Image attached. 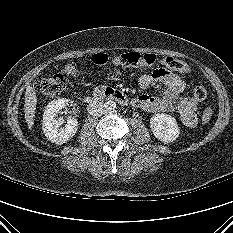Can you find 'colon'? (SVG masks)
<instances>
[{
  "instance_id": "1",
  "label": "colon",
  "mask_w": 233,
  "mask_h": 233,
  "mask_svg": "<svg viewBox=\"0 0 233 233\" xmlns=\"http://www.w3.org/2000/svg\"><path fill=\"white\" fill-rule=\"evenodd\" d=\"M92 62L95 65L103 66L111 62L115 65L126 66H154L160 65L166 68L187 73L190 71V66L181 60L173 57L158 58L154 54H140L138 52H127L110 58L107 54L97 53L92 56ZM79 74V62L75 59L67 62L61 69L59 74L41 77L34 82V88L40 94L48 98L59 96L67 86V77L74 78ZM207 96L204 87L198 86L193 91V98L197 101H203ZM212 109L206 108L202 114V122L207 124L212 118Z\"/></svg>"
}]
</instances>
